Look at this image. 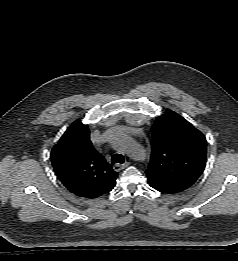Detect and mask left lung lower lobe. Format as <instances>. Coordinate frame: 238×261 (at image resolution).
I'll return each mask as SVG.
<instances>
[{
	"mask_svg": "<svg viewBox=\"0 0 238 261\" xmlns=\"http://www.w3.org/2000/svg\"><path fill=\"white\" fill-rule=\"evenodd\" d=\"M151 187H153L154 189H156V190H158V191H160V192H163V193H167V194H172V193H170L169 191H167V190H164V189H159V188H157V187H155V186H153V185H150Z\"/></svg>",
	"mask_w": 238,
	"mask_h": 261,
	"instance_id": "1",
	"label": "left lung lower lobe"
}]
</instances>
